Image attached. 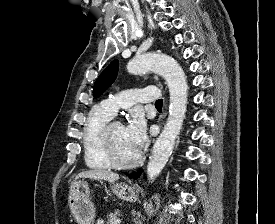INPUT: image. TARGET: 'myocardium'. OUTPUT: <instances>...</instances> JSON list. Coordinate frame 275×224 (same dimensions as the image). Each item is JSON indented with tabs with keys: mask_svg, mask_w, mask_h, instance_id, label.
<instances>
[{
	"mask_svg": "<svg viewBox=\"0 0 275 224\" xmlns=\"http://www.w3.org/2000/svg\"><path fill=\"white\" fill-rule=\"evenodd\" d=\"M115 123H119V122H114V121L107 122L100 134V144H101L103 153L106 157V160L111 166L115 168L128 169V168L135 167L140 163L142 159V154L140 152L136 155L135 158L129 161L120 160L115 153L112 140H111V128Z\"/></svg>",
	"mask_w": 275,
	"mask_h": 224,
	"instance_id": "1",
	"label": "myocardium"
}]
</instances>
